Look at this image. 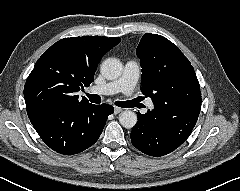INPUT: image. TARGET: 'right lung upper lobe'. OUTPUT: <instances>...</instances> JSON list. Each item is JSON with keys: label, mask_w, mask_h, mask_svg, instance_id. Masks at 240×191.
<instances>
[{"label": "right lung upper lobe", "mask_w": 240, "mask_h": 191, "mask_svg": "<svg viewBox=\"0 0 240 191\" xmlns=\"http://www.w3.org/2000/svg\"><path fill=\"white\" fill-rule=\"evenodd\" d=\"M119 37L82 36L63 38L37 60L27 78L24 98L27 114L67 104L84 105L89 101L77 92L88 87L102 56L120 42Z\"/></svg>", "instance_id": "right-lung-upper-lobe-1"}]
</instances>
